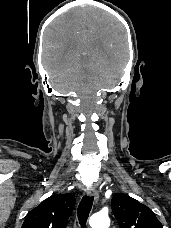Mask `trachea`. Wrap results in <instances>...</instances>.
<instances>
[{
    "instance_id": "obj_1",
    "label": "trachea",
    "mask_w": 171,
    "mask_h": 228,
    "mask_svg": "<svg viewBox=\"0 0 171 228\" xmlns=\"http://www.w3.org/2000/svg\"><path fill=\"white\" fill-rule=\"evenodd\" d=\"M93 205V197L84 196L78 206V220L82 227L85 226Z\"/></svg>"
}]
</instances>
